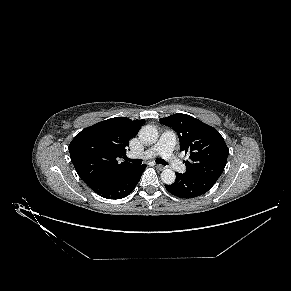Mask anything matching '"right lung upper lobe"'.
Listing matches in <instances>:
<instances>
[{"mask_svg":"<svg viewBox=\"0 0 291 291\" xmlns=\"http://www.w3.org/2000/svg\"><path fill=\"white\" fill-rule=\"evenodd\" d=\"M144 123L145 120L115 117L83 129L69 145L70 158L80 178L89 184L133 167L118 159L125 156L129 140Z\"/></svg>","mask_w":291,"mask_h":291,"instance_id":"cb5924a9","label":"right lung upper lobe"}]
</instances>
